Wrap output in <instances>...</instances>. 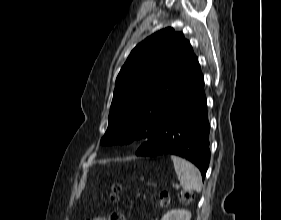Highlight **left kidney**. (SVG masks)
Instances as JSON below:
<instances>
[{
    "label": "left kidney",
    "mask_w": 281,
    "mask_h": 220,
    "mask_svg": "<svg viewBox=\"0 0 281 220\" xmlns=\"http://www.w3.org/2000/svg\"><path fill=\"white\" fill-rule=\"evenodd\" d=\"M191 213L185 209H172L168 211L161 220H190Z\"/></svg>",
    "instance_id": "obj_1"
}]
</instances>
